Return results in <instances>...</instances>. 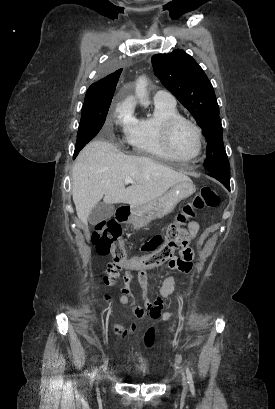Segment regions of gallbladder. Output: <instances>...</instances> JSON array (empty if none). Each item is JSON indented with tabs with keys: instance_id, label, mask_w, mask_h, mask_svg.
<instances>
[{
	"instance_id": "gallbladder-1",
	"label": "gallbladder",
	"mask_w": 275,
	"mask_h": 409,
	"mask_svg": "<svg viewBox=\"0 0 275 409\" xmlns=\"http://www.w3.org/2000/svg\"><path fill=\"white\" fill-rule=\"evenodd\" d=\"M114 213V205H107V202H98V205L92 209L88 221L90 225H98L101 221L110 219Z\"/></svg>"
}]
</instances>
